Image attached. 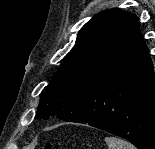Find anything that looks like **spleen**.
<instances>
[{
    "instance_id": "3e777b00",
    "label": "spleen",
    "mask_w": 155,
    "mask_h": 149,
    "mask_svg": "<svg viewBox=\"0 0 155 149\" xmlns=\"http://www.w3.org/2000/svg\"><path fill=\"white\" fill-rule=\"evenodd\" d=\"M105 142L108 145V149H136L129 142L113 136L105 137Z\"/></svg>"
}]
</instances>
